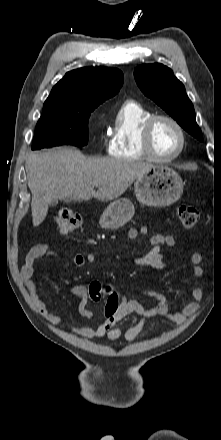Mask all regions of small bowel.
<instances>
[{
	"mask_svg": "<svg viewBox=\"0 0 221 440\" xmlns=\"http://www.w3.org/2000/svg\"><path fill=\"white\" fill-rule=\"evenodd\" d=\"M147 229L145 227L141 228H130L128 231V238L130 240L136 239L140 234H146ZM151 250L144 256L136 259V263L141 266L151 267L156 270H162L165 268L163 261L164 255L162 253V246H175L176 239L169 235H153L149 239ZM121 255L115 257H104L100 258L98 255L89 254H75L72 258L74 265L77 267H83L88 264H94L101 259L106 263H112L119 260ZM42 258H53L61 259L62 256L55 250L50 249L47 244L37 243L33 245L25 259V263L21 269V279L24 282L35 306L41 315L46 317L53 325H60L63 322L62 317L57 313L49 312L48 306L39 299L38 297V287L33 281V273L35 269V264L38 260ZM191 265L190 271L197 277L204 276V270L199 266L201 262V256L199 253H192L190 256ZM89 287L90 284H72L68 287L67 291L81 299L79 304V312L82 316L90 318L93 316L92 311L88 308L89 300ZM141 295L157 300V305L149 310L143 308L142 304L136 299H129L122 295L120 297L121 304L118 306V312L114 315L113 321H102L96 327L90 326H80L75 327L70 330V332L78 337L84 338H103L107 337L110 340H117L121 336L127 342L134 341L142 332L145 321L147 318L153 316L164 317L171 322L181 325L184 323L186 317L195 313L199 309V303L202 299V289L194 288L190 291V298L192 301L182 307L179 311H173L170 305L167 303L165 297L155 291H141ZM130 314H137L140 316V320L133 326L129 327L125 331L116 327V324L120 322L123 318Z\"/></svg>",
	"mask_w": 221,
	"mask_h": 440,
	"instance_id": "1",
	"label": "small bowel"
}]
</instances>
